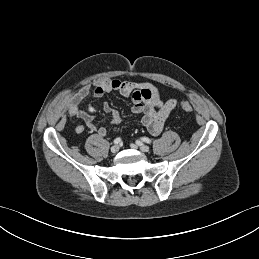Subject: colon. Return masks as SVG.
I'll return each mask as SVG.
<instances>
[{"label": "colon", "instance_id": "1", "mask_svg": "<svg viewBox=\"0 0 259 259\" xmlns=\"http://www.w3.org/2000/svg\"><path fill=\"white\" fill-rule=\"evenodd\" d=\"M180 107L184 112H191L193 110L192 105L187 101L181 102Z\"/></svg>", "mask_w": 259, "mask_h": 259}]
</instances>
